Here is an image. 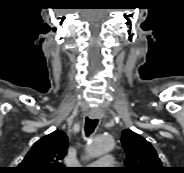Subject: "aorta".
Instances as JSON below:
<instances>
[{"instance_id": "1", "label": "aorta", "mask_w": 184, "mask_h": 173, "mask_svg": "<svg viewBox=\"0 0 184 173\" xmlns=\"http://www.w3.org/2000/svg\"><path fill=\"white\" fill-rule=\"evenodd\" d=\"M114 148V140L110 135L94 137L86 147L89 157H98L110 152Z\"/></svg>"}]
</instances>
